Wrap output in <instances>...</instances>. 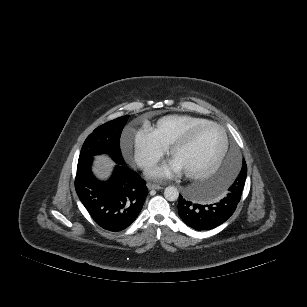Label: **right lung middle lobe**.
I'll return each instance as SVG.
<instances>
[{"label": "right lung middle lobe", "mask_w": 307, "mask_h": 307, "mask_svg": "<svg viewBox=\"0 0 307 307\" xmlns=\"http://www.w3.org/2000/svg\"><path fill=\"white\" fill-rule=\"evenodd\" d=\"M128 117H119L97 127L85 140L78 161L102 153H108L115 161L122 160L120 135Z\"/></svg>", "instance_id": "1"}]
</instances>
